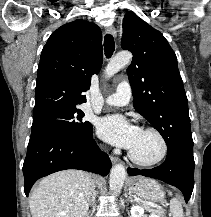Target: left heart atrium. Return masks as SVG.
Instances as JSON below:
<instances>
[{"mask_svg":"<svg viewBox=\"0 0 211 217\" xmlns=\"http://www.w3.org/2000/svg\"><path fill=\"white\" fill-rule=\"evenodd\" d=\"M140 132V128L120 115L105 116L97 124V133L102 139L127 149L135 145Z\"/></svg>","mask_w":211,"mask_h":217,"instance_id":"39dd6f15","label":"left heart atrium"}]
</instances>
